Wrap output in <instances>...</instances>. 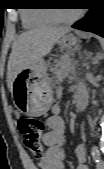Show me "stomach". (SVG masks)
I'll list each match as a JSON object with an SVG mask.
<instances>
[{
	"mask_svg": "<svg viewBox=\"0 0 104 169\" xmlns=\"http://www.w3.org/2000/svg\"><path fill=\"white\" fill-rule=\"evenodd\" d=\"M78 38L74 34H65L57 44L61 48L74 46ZM49 63L43 59L35 66L22 70L14 79L11 89L13 103L17 110L27 116L38 117L52 106L54 92L47 73Z\"/></svg>",
	"mask_w": 104,
	"mask_h": 169,
	"instance_id": "stomach-1",
	"label": "stomach"
}]
</instances>
